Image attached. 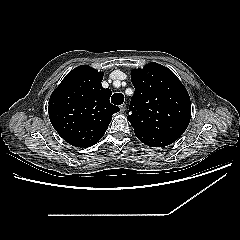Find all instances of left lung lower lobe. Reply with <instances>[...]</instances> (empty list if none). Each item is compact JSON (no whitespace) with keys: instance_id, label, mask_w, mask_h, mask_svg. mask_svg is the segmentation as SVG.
<instances>
[{"instance_id":"left-lung-lower-lobe-1","label":"left lung lower lobe","mask_w":240,"mask_h":240,"mask_svg":"<svg viewBox=\"0 0 240 240\" xmlns=\"http://www.w3.org/2000/svg\"><path fill=\"white\" fill-rule=\"evenodd\" d=\"M139 140L150 147H164L175 141V139H171L167 137L140 138Z\"/></svg>"}]
</instances>
